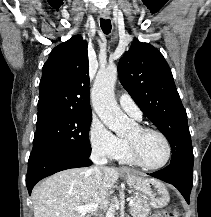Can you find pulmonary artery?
Instances as JSON below:
<instances>
[{"label":"pulmonary artery","mask_w":211,"mask_h":217,"mask_svg":"<svg viewBox=\"0 0 211 217\" xmlns=\"http://www.w3.org/2000/svg\"><path fill=\"white\" fill-rule=\"evenodd\" d=\"M119 105L124 112L136 120H142V112L128 93H122L119 97Z\"/></svg>","instance_id":"pulmonary-artery-1"}]
</instances>
